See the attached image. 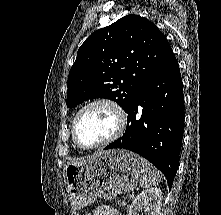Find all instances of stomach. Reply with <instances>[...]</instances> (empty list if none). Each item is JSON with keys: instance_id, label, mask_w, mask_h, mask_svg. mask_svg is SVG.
Returning a JSON list of instances; mask_svg holds the SVG:
<instances>
[{"instance_id": "1", "label": "stomach", "mask_w": 221, "mask_h": 215, "mask_svg": "<svg viewBox=\"0 0 221 215\" xmlns=\"http://www.w3.org/2000/svg\"><path fill=\"white\" fill-rule=\"evenodd\" d=\"M142 174L141 158L128 150L113 149L69 162L64 171L73 209L80 210L98 198L110 200L131 192Z\"/></svg>"}]
</instances>
